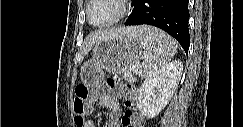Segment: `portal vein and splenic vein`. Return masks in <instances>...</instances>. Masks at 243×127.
<instances>
[{
  "label": "portal vein and splenic vein",
  "mask_w": 243,
  "mask_h": 127,
  "mask_svg": "<svg viewBox=\"0 0 243 127\" xmlns=\"http://www.w3.org/2000/svg\"><path fill=\"white\" fill-rule=\"evenodd\" d=\"M132 69H133V71H136L137 68H136V66H134Z\"/></svg>",
  "instance_id": "portal-vein-and-splenic-vein-1"
}]
</instances>
